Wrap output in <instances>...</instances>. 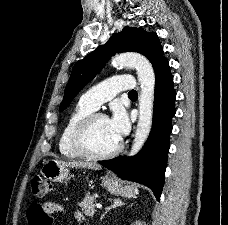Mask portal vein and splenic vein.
Wrapping results in <instances>:
<instances>
[{"label": "portal vein and splenic vein", "instance_id": "18ae733b", "mask_svg": "<svg viewBox=\"0 0 228 225\" xmlns=\"http://www.w3.org/2000/svg\"><path fill=\"white\" fill-rule=\"evenodd\" d=\"M97 209H101L102 205H96Z\"/></svg>", "mask_w": 228, "mask_h": 225}]
</instances>
